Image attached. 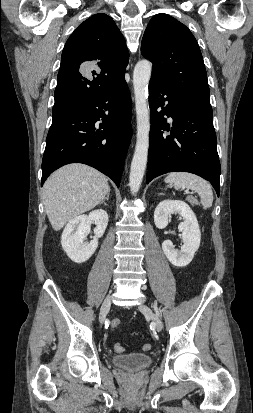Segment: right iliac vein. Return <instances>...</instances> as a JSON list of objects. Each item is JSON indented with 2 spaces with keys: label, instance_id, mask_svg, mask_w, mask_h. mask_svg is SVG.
Listing matches in <instances>:
<instances>
[{
  "label": "right iliac vein",
  "instance_id": "right-iliac-vein-1",
  "mask_svg": "<svg viewBox=\"0 0 253 413\" xmlns=\"http://www.w3.org/2000/svg\"><path fill=\"white\" fill-rule=\"evenodd\" d=\"M110 306H111V296H108V297L104 300V302H103V304H102V306H101V309H100V314H99V321H100V323H103V321H104V319H105V317H106V314L108 313V311H109V309H110Z\"/></svg>",
  "mask_w": 253,
  "mask_h": 413
}]
</instances>
